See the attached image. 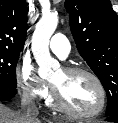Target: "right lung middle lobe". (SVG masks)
I'll list each match as a JSON object with an SVG mask.
<instances>
[{
    "label": "right lung middle lobe",
    "mask_w": 118,
    "mask_h": 123,
    "mask_svg": "<svg viewBox=\"0 0 118 123\" xmlns=\"http://www.w3.org/2000/svg\"><path fill=\"white\" fill-rule=\"evenodd\" d=\"M20 52L0 49V88L16 89V70Z\"/></svg>",
    "instance_id": "obj_1"
}]
</instances>
